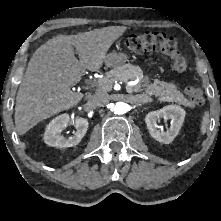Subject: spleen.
Returning a JSON list of instances; mask_svg holds the SVG:
<instances>
[{"instance_id":"obj_1","label":"spleen","mask_w":221,"mask_h":221,"mask_svg":"<svg viewBox=\"0 0 221 221\" xmlns=\"http://www.w3.org/2000/svg\"><path fill=\"white\" fill-rule=\"evenodd\" d=\"M208 123H209V112L206 111L202 117L201 126H200V131L202 134H205Z\"/></svg>"}]
</instances>
